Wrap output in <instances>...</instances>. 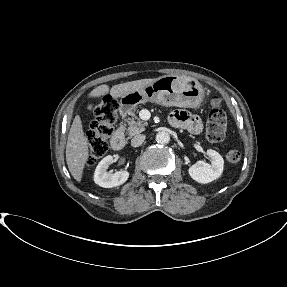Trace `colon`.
<instances>
[{"label":"colon","mask_w":287,"mask_h":287,"mask_svg":"<svg viewBox=\"0 0 287 287\" xmlns=\"http://www.w3.org/2000/svg\"><path fill=\"white\" fill-rule=\"evenodd\" d=\"M118 101L113 96H106L102 100L91 105L95 116L87 133L89 145L88 165H94L108 150V143L113 136L118 120ZM227 130V119L221 107L220 98L214 96L211 99V110L207 122V137L212 142L224 139ZM227 161L236 164L241 159L238 149H230L226 154Z\"/></svg>","instance_id":"colon-1"}]
</instances>
